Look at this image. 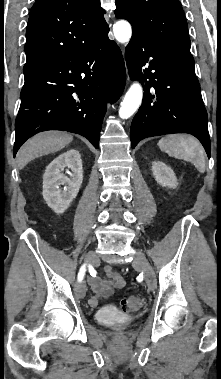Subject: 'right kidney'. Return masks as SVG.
<instances>
[{"mask_svg":"<svg viewBox=\"0 0 221 379\" xmlns=\"http://www.w3.org/2000/svg\"><path fill=\"white\" fill-rule=\"evenodd\" d=\"M82 181L81 156L77 150L70 149L47 166L43 175V198L54 212L63 213L77 196Z\"/></svg>","mask_w":221,"mask_h":379,"instance_id":"ca27d5eb","label":"right kidney"}]
</instances>
